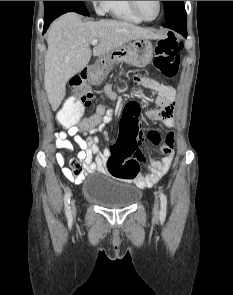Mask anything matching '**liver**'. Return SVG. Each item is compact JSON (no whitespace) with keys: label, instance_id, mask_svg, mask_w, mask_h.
Returning <instances> with one entry per match:
<instances>
[{"label":"liver","instance_id":"obj_1","mask_svg":"<svg viewBox=\"0 0 233 295\" xmlns=\"http://www.w3.org/2000/svg\"><path fill=\"white\" fill-rule=\"evenodd\" d=\"M137 38L158 39L159 35L119 20L83 22L74 12L57 18L49 28L45 54L44 87L52 110L58 109L66 83L88 65L92 54L104 56ZM94 39L99 44L91 51Z\"/></svg>","mask_w":233,"mask_h":295}]
</instances>
